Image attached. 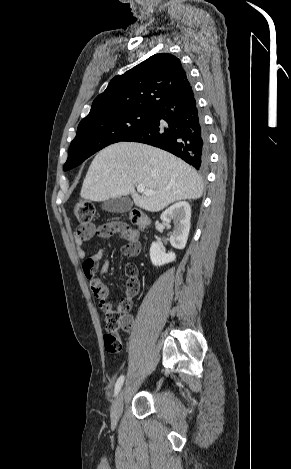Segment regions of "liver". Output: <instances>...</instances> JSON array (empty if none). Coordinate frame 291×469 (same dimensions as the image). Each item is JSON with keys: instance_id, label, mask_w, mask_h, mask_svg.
<instances>
[{"instance_id": "1", "label": "liver", "mask_w": 291, "mask_h": 469, "mask_svg": "<svg viewBox=\"0 0 291 469\" xmlns=\"http://www.w3.org/2000/svg\"><path fill=\"white\" fill-rule=\"evenodd\" d=\"M138 185H144L153 194L139 195L135 191ZM128 194L139 208L158 212L176 201L199 199L203 183L191 166L164 150L119 142L95 156L80 195L100 202Z\"/></svg>"}]
</instances>
